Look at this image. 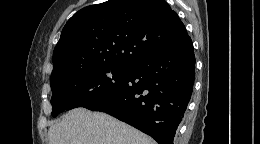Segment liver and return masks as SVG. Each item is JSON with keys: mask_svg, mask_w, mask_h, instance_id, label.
<instances>
[{"mask_svg": "<svg viewBox=\"0 0 260 144\" xmlns=\"http://www.w3.org/2000/svg\"><path fill=\"white\" fill-rule=\"evenodd\" d=\"M49 144H156L137 129L105 114L76 108L50 126Z\"/></svg>", "mask_w": 260, "mask_h": 144, "instance_id": "6515ba94", "label": "liver"}]
</instances>
